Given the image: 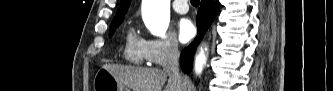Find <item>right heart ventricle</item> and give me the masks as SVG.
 Returning a JSON list of instances; mask_svg holds the SVG:
<instances>
[{"label": "right heart ventricle", "mask_w": 333, "mask_h": 91, "mask_svg": "<svg viewBox=\"0 0 333 91\" xmlns=\"http://www.w3.org/2000/svg\"><path fill=\"white\" fill-rule=\"evenodd\" d=\"M124 56L127 61L133 64H143L147 61L144 40L137 36L133 28L128 29L125 35Z\"/></svg>", "instance_id": "obj_1"}]
</instances>
